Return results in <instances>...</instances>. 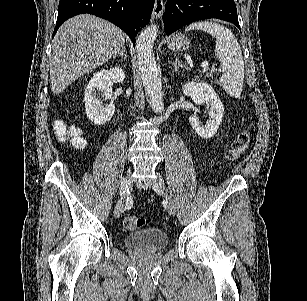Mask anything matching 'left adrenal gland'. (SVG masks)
Instances as JSON below:
<instances>
[{
  "label": "left adrenal gland",
  "instance_id": "a2214340",
  "mask_svg": "<svg viewBox=\"0 0 307 301\" xmlns=\"http://www.w3.org/2000/svg\"><path fill=\"white\" fill-rule=\"evenodd\" d=\"M179 68H188V66H186V64H182V62H180L179 58H175L174 70H179Z\"/></svg>",
  "mask_w": 307,
  "mask_h": 301
}]
</instances>
